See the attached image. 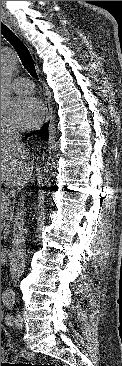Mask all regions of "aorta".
Instances as JSON below:
<instances>
[{
  "mask_svg": "<svg viewBox=\"0 0 122 366\" xmlns=\"http://www.w3.org/2000/svg\"><path fill=\"white\" fill-rule=\"evenodd\" d=\"M18 64L16 54L9 48L1 49V109H5L11 95V81Z\"/></svg>",
  "mask_w": 122,
  "mask_h": 366,
  "instance_id": "762f6f07",
  "label": "aorta"
}]
</instances>
